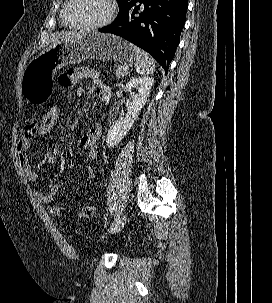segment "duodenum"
Instances as JSON below:
<instances>
[{
	"label": "duodenum",
	"instance_id": "duodenum-1",
	"mask_svg": "<svg viewBox=\"0 0 272 303\" xmlns=\"http://www.w3.org/2000/svg\"><path fill=\"white\" fill-rule=\"evenodd\" d=\"M98 98H99L101 101L104 100V97H103V96H99Z\"/></svg>",
	"mask_w": 272,
	"mask_h": 303
}]
</instances>
